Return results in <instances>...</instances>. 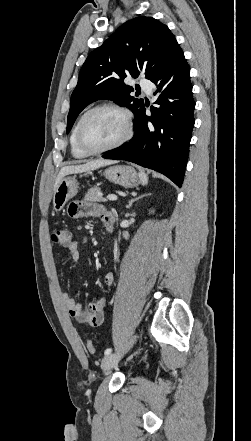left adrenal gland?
<instances>
[{
	"mask_svg": "<svg viewBox=\"0 0 251 441\" xmlns=\"http://www.w3.org/2000/svg\"><path fill=\"white\" fill-rule=\"evenodd\" d=\"M148 195L149 194H145V195H142V196H139V197H136L134 199L129 200L128 204L126 205V208L129 209L135 201H137L145 196H148Z\"/></svg>",
	"mask_w": 251,
	"mask_h": 441,
	"instance_id": "1",
	"label": "left adrenal gland"
}]
</instances>
